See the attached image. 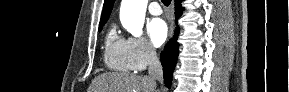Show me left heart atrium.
<instances>
[{"label":"left heart atrium","mask_w":289,"mask_h":92,"mask_svg":"<svg viewBox=\"0 0 289 92\" xmlns=\"http://www.w3.org/2000/svg\"><path fill=\"white\" fill-rule=\"evenodd\" d=\"M150 41L155 47L161 46L168 37V26L164 20L160 18L152 19L147 26Z\"/></svg>","instance_id":"left-heart-atrium-1"}]
</instances>
